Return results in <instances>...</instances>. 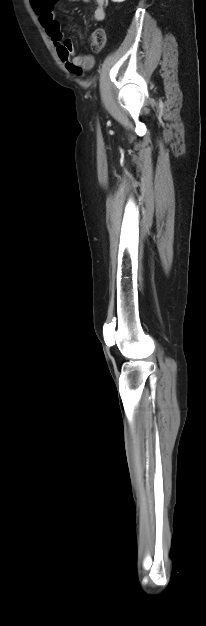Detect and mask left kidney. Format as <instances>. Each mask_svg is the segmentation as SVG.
Here are the masks:
<instances>
[{"label":"left kidney","instance_id":"1","mask_svg":"<svg viewBox=\"0 0 206 626\" xmlns=\"http://www.w3.org/2000/svg\"><path fill=\"white\" fill-rule=\"evenodd\" d=\"M112 2H124L125 0H111Z\"/></svg>","mask_w":206,"mask_h":626}]
</instances>
